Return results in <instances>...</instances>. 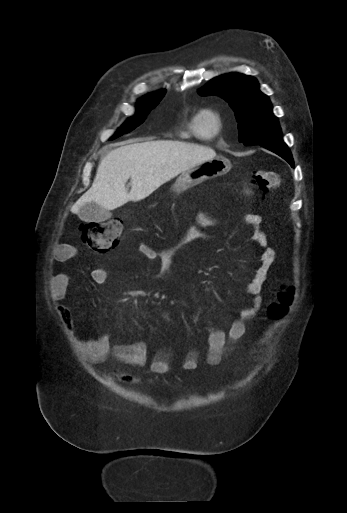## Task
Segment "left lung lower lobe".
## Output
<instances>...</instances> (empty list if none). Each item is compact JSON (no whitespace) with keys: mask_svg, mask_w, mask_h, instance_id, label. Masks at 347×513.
Instances as JSON below:
<instances>
[{"mask_svg":"<svg viewBox=\"0 0 347 513\" xmlns=\"http://www.w3.org/2000/svg\"><path fill=\"white\" fill-rule=\"evenodd\" d=\"M261 146L278 154L279 156L284 158L287 162H289V164L292 167H294V162H293L291 152L289 151L287 145L283 141L277 142V143L263 144Z\"/></svg>","mask_w":347,"mask_h":513,"instance_id":"1","label":"left lung lower lobe"}]
</instances>
